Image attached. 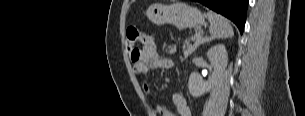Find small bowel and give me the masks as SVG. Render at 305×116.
<instances>
[{
  "instance_id": "1",
  "label": "small bowel",
  "mask_w": 305,
  "mask_h": 116,
  "mask_svg": "<svg viewBox=\"0 0 305 116\" xmlns=\"http://www.w3.org/2000/svg\"><path fill=\"white\" fill-rule=\"evenodd\" d=\"M133 71L136 74H146L150 69H168L175 66V63L166 58H161L156 46L149 39L143 44L141 50H138V56L132 58ZM146 94H151V89L147 83L143 85ZM154 110L160 116H192L191 108L186 98L175 93L171 99V105L154 100Z\"/></svg>"
}]
</instances>
